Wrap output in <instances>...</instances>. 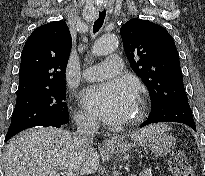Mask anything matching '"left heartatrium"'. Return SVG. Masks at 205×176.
Here are the masks:
<instances>
[{"label":"left heart atrium","mask_w":205,"mask_h":176,"mask_svg":"<svg viewBox=\"0 0 205 176\" xmlns=\"http://www.w3.org/2000/svg\"><path fill=\"white\" fill-rule=\"evenodd\" d=\"M136 98L134 84L124 79L90 86L82 94L84 105L108 123H118L129 117Z\"/></svg>","instance_id":"left-heart-atrium-1"}]
</instances>
